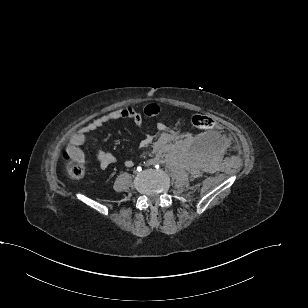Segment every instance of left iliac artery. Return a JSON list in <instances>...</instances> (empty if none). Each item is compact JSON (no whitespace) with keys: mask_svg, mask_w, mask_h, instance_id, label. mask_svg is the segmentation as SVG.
Returning <instances> with one entry per match:
<instances>
[{"mask_svg":"<svg viewBox=\"0 0 308 308\" xmlns=\"http://www.w3.org/2000/svg\"><path fill=\"white\" fill-rule=\"evenodd\" d=\"M155 167H156V168H159V165H156Z\"/></svg>","mask_w":308,"mask_h":308,"instance_id":"left-iliac-artery-1","label":"left iliac artery"}]
</instances>
